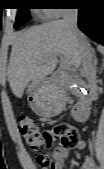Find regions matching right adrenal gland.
Here are the masks:
<instances>
[{"label": "right adrenal gland", "instance_id": "2a0ac1e0", "mask_svg": "<svg viewBox=\"0 0 104 169\" xmlns=\"http://www.w3.org/2000/svg\"><path fill=\"white\" fill-rule=\"evenodd\" d=\"M92 53H93L94 66L96 67L97 63H98V60H97V57H96L95 49H92Z\"/></svg>", "mask_w": 104, "mask_h": 169}]
</instances>
